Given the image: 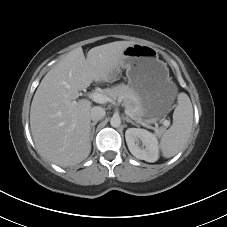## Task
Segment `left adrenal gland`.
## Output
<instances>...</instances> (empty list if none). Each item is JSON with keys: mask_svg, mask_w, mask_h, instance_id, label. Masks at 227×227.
I'll list each match as a JSON object with an SVG mask.
<instances>
[{"mask_svg": "<svg viewBox=\"0 0 227 227\" xmlns=\"http://www.w3.org/2000/svg\"><path fill=\"white\" fill-rule=\"evenodd\" d=\"M125 120H126V122L131 123V124L137 126V124L134 121H132L131 119H129L127 116L125 117Z\"/></svg>", "mask_w": 227, "mask_h": 227, "instance_id": "1", "label": "left adrenal gland"}]
</instances>
